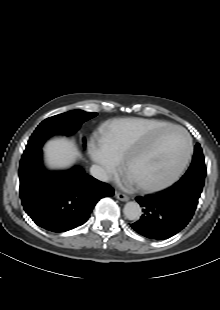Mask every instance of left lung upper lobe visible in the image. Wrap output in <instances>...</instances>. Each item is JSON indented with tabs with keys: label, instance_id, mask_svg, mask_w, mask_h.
<instances>
[{
	"label": "left lung upper lobe",
	"instance_id": "obj_1",
	"mask_svg": "<svg viewBox=\"0 0 220 310\" xmlns=\"http://www.w3.org/2000/svg\"><path fill=\"white\" fill-rule=\"evenodd\" d=\"M205 176H206V167L204 163L203 152L200 147V144H196L192 163L187 172L178 182L194 183L199 186H203Z\"/></svg>",
	"mask_w": 220,
	"mask_h": 310
}]
</instances>
